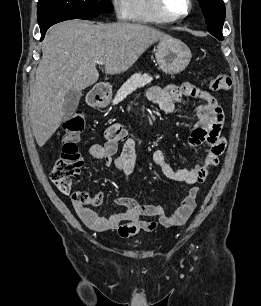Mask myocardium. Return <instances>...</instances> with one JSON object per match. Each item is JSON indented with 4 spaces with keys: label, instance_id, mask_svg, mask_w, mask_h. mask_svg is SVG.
Instances as JSON below:
<instances>
[{
    "label": "myocardium",
    "instance_id": "f54148a6",
    "mask_svg": "<svg viewBox=\"0 0 261 306\" xmlns=\"http://www.w3.org/2000/svg\"><path fill=\"white\" fill-rule=\"evenodd\" d=\"M154 1L158 12L169 21H178L184 19L191 13L193 9V0H186L188 5L186 12L179 15H173L168 11L164 0H154Z\"/></svg>",
    "mask_w": 261,
    "mask_h": 306
}]
</instances>
